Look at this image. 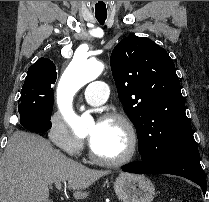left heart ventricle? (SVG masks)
I'll list each match as a JSON object with an SVG mask.
<instances>
[{
	"instance_id": "obj_1",
	"label": "left heart ventricle",
	"mask_w": 209,
	"mask_h": 202,
	"mask_svg": "<svg viewBox=\"0 0 209 202\" xmlns=\"http://www.w3.org/2000/svg\"><path fill=\"white\" fill-rule=\"evenodd\" d=\"M89 137L95 135L91 143L96 153L102 157L120 158L129 148V138L125 128L115 121H101L88 129Z\"/></svg>"
}]
</instances>
